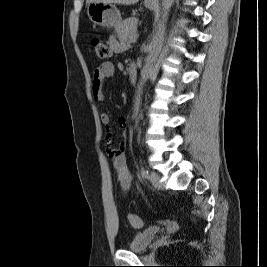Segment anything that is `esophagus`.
I'll use <instances>...</instances> for the list:
<instances>
[{
  "instance_id": "obj_1",
  "label": "esophagus",
  "mask_w": 267,
  "mask_h": 267,
  "mask_svg": "<svg viewBox=\"0 0 267 267\" xmlns=\"http://www.w3.org/2000/svg\"><path fill=\"white\" fill-rule=\"evenodd\" d=\"M148 1H157V0H148Z\"/></svg>"
}]
</instances>
